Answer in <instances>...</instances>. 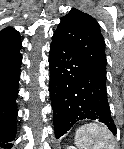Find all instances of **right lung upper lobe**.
Here are the masks:
<instances>
[{"mask_svg":"<svg viewBox=\"0 0 124 149\" xmlns=\"http://www.w3.org/2000/svg\"><path fill=\"white\" fill-rule=\"evenodd\" d=\"M19 33L12 28H5L0 32V41L18 39Z\"/></svg>","mask_w":124,"mask_h":149,"instance_id":"right-lung-upper-lobe-1","label":"right lung upper lobe"}]
</instances>
